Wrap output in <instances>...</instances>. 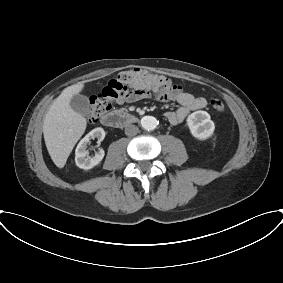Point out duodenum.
I'll use <instances>...</instances> for the list:
<instances>
[{
    "instance_id": "obj_1",
    "label": "duodenum",
    "mask_w": 283,
    "mask_h": 283,
    "mask_svg": "<svg viewBox=\"0 0 283 283\" xmlns=\"http://www.w3.org/2000/svg\"><path fill=\"white\" fill-rule=\"evenodd\" d=\"M138 121V117L134 114L113 110L102 116L101 122L107 127H123L134 124Z\"/></svg>"
}]
</instances>
